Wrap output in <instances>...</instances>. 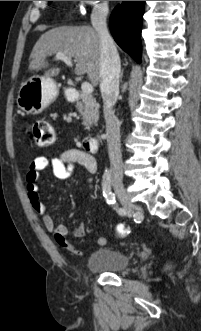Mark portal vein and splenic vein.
<instances>
[{
    "label": "portal vein and splenic vein",
    "mask_w": 201,
    "mask_h": 331,
    "mask_svg": "<svg viewBox=\"0 0 201 331\" xmlns=\"http://www.w3.org/2000/svg\"><path fill=\"white\" fill-rule=\"evenodd\" d=\"M56 59L62 60L68 66H72L71 58L67 57L66 55H64L62 53H57ZM81 89H82L83 93H85V94H91L93 92V86H92V84H90L88 82H83L81 85Z\"/></svg>",
    "instance_id": "obj_1"
}]
</instances>
